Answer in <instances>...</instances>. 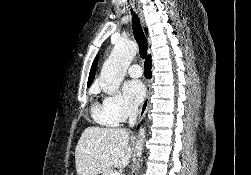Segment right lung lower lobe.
I'll return each instance as SVG.
<instances>
[{
	"label": "right lung lower lobe",
	"mask_w": 251,
	"mask_h": 175,
	"mask_svg": "<svg viewBox=\"0 0 251 175\" xmlns=\"http://www.w3.org/2000/svg\"><path fill=\"white\" fill-rule=\"evenodd\" d=\"M151 58L147 59L145 61V77L150 78L151 77Z\"/></svg>",
	"instance_id": "1"
}]
</instances>
